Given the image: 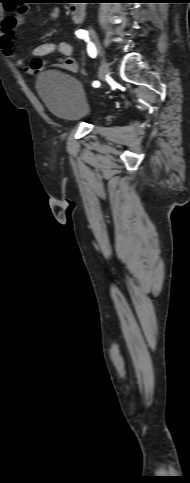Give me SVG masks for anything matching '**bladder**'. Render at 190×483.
<instances>
[{
	"instance_id": "obj_1",
	"label": "bladder",
	"mask_w": 190,
	"mask_h": 483,
	"mask_svg": "<svg viewBox=\"0 0 190 483\" xmlns=\"http://www.w3.org/2000/svg\"><path fill=\"white\" fill-rule=\"evenodd\" d=\"M36 85L39 97L58 118L79 122L91 117L85 89L73 75L50 69L38 76Z\"/></svg>"
}]
</instances>
